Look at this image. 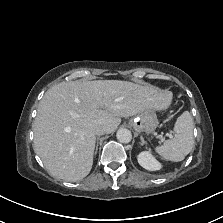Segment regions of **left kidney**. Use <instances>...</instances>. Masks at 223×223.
<instances>
[{
    "label": "left kidney",
    "mask_w": 223,
    "mask_h": 223,
    "mask_svg": "<svg viewBox=\"0 0 223 223\" xmlns=\"http://www.w3.org/2000/svg\"><path fill=\"white\" fill-rule=\"evenodd\" d=\"M138 163L146 170L156 171L161 169V164L149 151L141 152L137 157Z\"/></svg>",
    "instance_id": "5707ae66"
}]
</instances>
